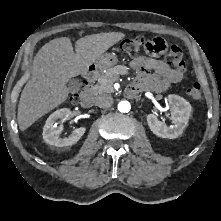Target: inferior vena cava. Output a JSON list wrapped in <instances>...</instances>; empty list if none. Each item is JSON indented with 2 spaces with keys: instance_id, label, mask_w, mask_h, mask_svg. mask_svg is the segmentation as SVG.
Segmentation results:
<instances>
[{
  "instance_id": "602c4592",
  "label": "inferior vena cava",
  "mask_w": 221,
  "mask_h": 221,
  "mask_svg": "<svg viewBox=\"0 0 221 221\" xmlns=\"http://www.w3.org/2000/svg\"><path fill=\"white\" fill-rule=\"evenodd\" d=\"M96 104L100 108H110L113 104V98L111 95L108 94L99 95L96 98Z\"/></svg>"
}]
</instances>
